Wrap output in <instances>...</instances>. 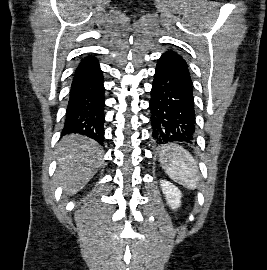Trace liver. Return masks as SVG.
Here are the masks:
<instances>
[{"label": "liver", "instance_id": "1", "mask_svg": "<svg viewBox=\"0 0 267 270\" xmlns=\"http://www.w3.org/2000/svg\"><path fill=\"white\" fill-rule=\"evenodd\" d=\"M101 154L102 147L90 138L68 135L61 140L55 177L66 195L76 194L94 176Z\"/></svg>", "mask_w": 267, "mask_h": 270}]
</instances>
